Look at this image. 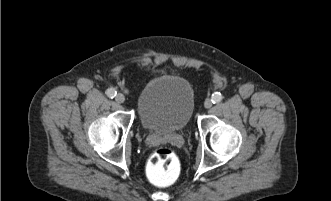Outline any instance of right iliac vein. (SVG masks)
I'll list each match as a JSON object with an SVG mask.
<instances>
[{
  "mask_svg": "<svg viewBox=\"0 0 331 201\" xmlns=\"http://www.w3.org/2000/svg\"><path fill=\"white\" fill-rule=\"evenodd\" d=\"M115 100H116L117 103L121 104L125 101V97H124L123 94L118 93L115 97Z\"/></svg>",
  "mask_w": 331,
  "mask_h": 201,
  "instance_id": "obj_1",
  "label": "right iliac vein"
}]
</instances>
